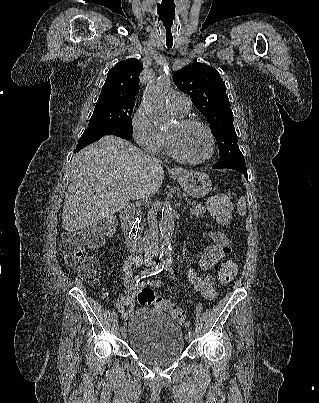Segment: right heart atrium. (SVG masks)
<instances>
[{"mask_svg": "<svg viewBox=\"0 0 319 403\" xmlns=\"http://www.w3.org/2000/svg\"><path fill=\"white\" fill-rule=\"evenodd\" d=\"M132 133L137 144L150 154L159 155L167 142L147 115L143 107H139L132 116Z\"/></svg>", "mask_w": 319, "mask_h": 403, "instance_id": "obj_1", "label": "right heart atrium"}]
</instances>
